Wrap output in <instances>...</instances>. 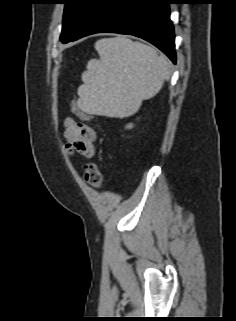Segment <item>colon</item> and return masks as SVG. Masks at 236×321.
<instances>
[{
	"label": "colon",
	"mask_w": 236,
	"mask_h": 321,
	"mask_svg": "<svg viewBox=\"0 0 236 321\" xmlns=\"http://www.w3.org/2000/svg\"><path fill=\"white\" fill-rule=\"evenodd\" d=\"M71 110L75 115H77L81 119L88 120L91 117L89 114H87L80 108L79 103L76 99H72L71 101ZM84 179L93 188L98 189L101 187L102 173L99 165L96 162L91 161L85 165Z\"/></svg>",
	"instance_id": "obj_1"
}]
</instances>
